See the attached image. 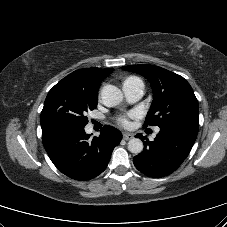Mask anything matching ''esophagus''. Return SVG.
<instances>
[{
	"label": "esophagus",
	"instance_id": "esophagus-1",
	"mask_svg": "<svg viewBox=\"0 0 227 227\" xmlns=\"http://www.w3.org/2000/svg\"><path fill=\"white\" fill-rule=\"evenodd\" d=\"M134 136H133V134H131V133H123V139L124 140H130V139H132Z\"/></svg>",
	"mask_w": 227,
	"mask_h": 227
}]
</instances>
